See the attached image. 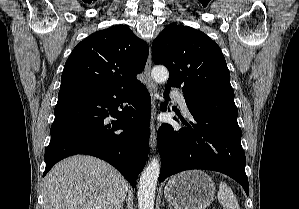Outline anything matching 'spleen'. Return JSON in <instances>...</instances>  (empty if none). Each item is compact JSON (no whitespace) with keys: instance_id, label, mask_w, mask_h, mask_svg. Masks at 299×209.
<instances>
[{"instance_id":"3e777b00","label":"spleen","mask_w":299,"mask_h":209,"mask_svg":"<svg viewBox=\"0 0 299 209\" xmlns=\"http://www.w3.org/2000/svg\"><path fill=\"white\" fill-rule=\"evenodd\" d=\"M218 200L224 209H240L232 189L225 182H220Z\"/></svg>"}]
</instances>
